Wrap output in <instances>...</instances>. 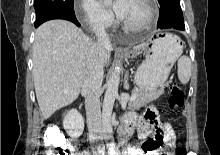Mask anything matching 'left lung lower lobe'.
Here are the masks:
<instances>
[{
	"mask_svg": "<svg viewBox=\"0 0 220 155\" xmlns=\"http://www.w3.org/2000/svg\"><path fill=\"white\" fill-rule=\"evenodd\" d=\"M157 27L160 29H185L180 2H171L160 5V17L158 19Z\"/></svg>",
	"mask_w": 220,
	"mask_h": 155,
	"instance_id": "left-lung-lower-lobe-1",
	"label": "left lung lower lobe"
}]
</instances>
